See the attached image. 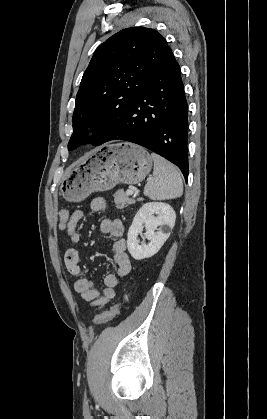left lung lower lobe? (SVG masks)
Here are the masks:
<instances>
[{
  "instance_id": "left-lung-lower-lobe-1",
  "label": "left lung lower lobe",
  "mask_w": 267,
  "mask_h": 419,
  "mask_svg": "<svg viewBox=\"0 0 267 419\" xmlns=\"http://www.w3.org/2000/svg\"><path fill=\"white\" fill-rule=\"evenodd\" d=\"M111 140L130 141L163 156L187 180L188 105L180 67L170 48L126 115L105 125L93 145Z\"/></svg>"
}]
</instances>
